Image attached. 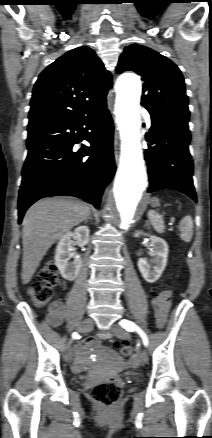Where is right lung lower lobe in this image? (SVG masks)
<instances>
[{
  "instance_id": "1",
  "label": "right lung lower lobe",
  "mask_w": 212,
  "mask_h": 438,
  "mask_svg": "<svg viewBox=\"0 0 212 438\" xmlns=\"http://www.w3.org/2000/svg\"><path fill=\"white\" fill-rule=\"evenodd\" d=\"M113 128L106 106L81 119H57L29 126L18 222L35 201L44 197L75 196L98 208L104 188L116 170ZM89 129L92 132L84 137ZM83 139L91 146L77 151L74 145Z\"/></svg>"
}]
</instances>
